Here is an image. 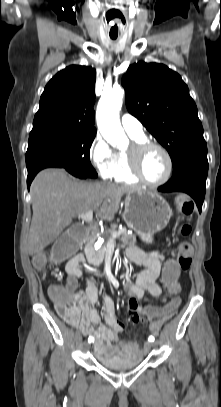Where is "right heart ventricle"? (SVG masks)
<instances>
[{
  "instance_id": "1",
  "label": "right heart ventricle",
  "mask_w": 221,
  "mask_h": 407,
  "mask_svg": "<svg viewBox=\"0 0 221 407\" xmlns=\"http://www.w3.org/2000/svg\"><path fill=\"white\" fill-rule=\"evenodd\" d=\"M131 138L134 141H145L146 137L144 135L141 136H132ZM113 178L117 182H123L128 184H135L138 180L131 174L128 166V159L126 152H119L117 153V167L114 172Z\"/></svg>"
}]
</instances>
